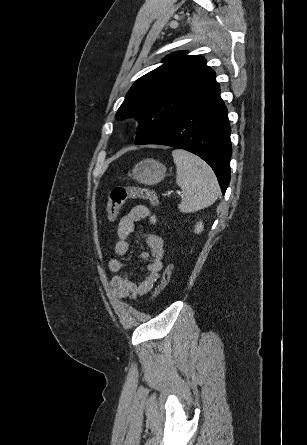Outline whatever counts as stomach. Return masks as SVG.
I'll return each instance as SVG.
<instances>
[{"label": "stomach", "instance_id": "stomach-1", "mask_svg": "<svg viewBox=\"0 0 307 445\" xmlns=\"http://www.w3.org/2000/svg\"><path fill=\"white\" fill-rule=\"evenodd\" d=\"M167 168L165 164L154 158H143L135 164L132 176L141 184H157L163 180Z\"/></svg>", "mask_w": 307, "mask_h": 445}]
</instances>
